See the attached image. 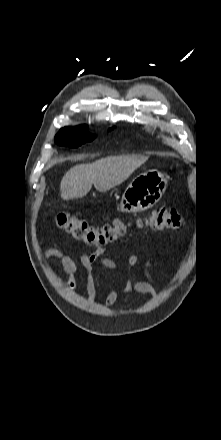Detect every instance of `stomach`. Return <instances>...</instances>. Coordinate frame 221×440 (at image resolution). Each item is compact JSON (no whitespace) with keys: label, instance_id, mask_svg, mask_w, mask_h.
Instances as JSON below:
<instances>
[{"label":"stomach","instance_id":"1","mask_svg":"<svg viewBox=\"0 0 221 440\" xmlns=\"http://www.w3.org/2000/svg\"><path fill=\"white\" fill-rule=\"evenodd\" d=\"M168 185L166 175L152 169L136 176L122 195L121 212H140L156 204Z\"/></svg>","mask_w":221,"mask_h":440}]
</instances>
